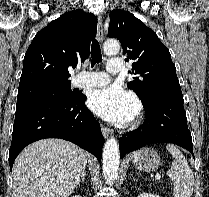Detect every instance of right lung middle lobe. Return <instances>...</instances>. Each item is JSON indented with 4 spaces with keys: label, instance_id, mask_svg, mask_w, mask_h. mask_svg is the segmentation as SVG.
<instances>
[{
    "label": "right lung middle lobe",
    "instance_id": "1",
    "mask_svg": "<svg viewBox=\"0 0 209 197\" xmlns=\"http://www.w3.org/2000/svg\"><path fill=\"white\" fill-rule=\"evenodd\" d=\"M70 81H47L19 86L16 108L40 101L67 100L78 96Z\"/></svg>",
    "mask_w": 209,
    "mask_h": 197
}]
</instances>
